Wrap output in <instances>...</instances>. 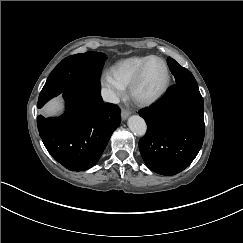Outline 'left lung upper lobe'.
<instances>
[{"label": "left lung upper lobe", "instance_id": "5c2ea615", "mask_svg": "<svg viewBox=\"0 0 243 243\" xmlns=\"http://www.w3.org/2000/svg\"><path fill=\"white\" fill-rule=\"evenodd\" d=\"M168 66L175 77L176 83H197L192 73L180 66L174 59H167Z\"/></svg>", "mask_w": 243, "mask_h": 243}]
</instances>
